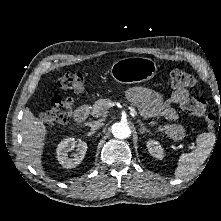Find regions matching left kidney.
Masks as SVG:
<instances>
[{
  "label": "left kidney",
  "mask_w": 221,
  "mask_h": 221,
  "mask_svg": "<svg viewBox=\"0 0 221 221\" xmlns=\"http://www.w3.org/2000/svg\"><path fill=\"white\" fill-rule=\"evenodd\" d=\"M147 148L149 153L158 159H163L164 153H163V148L161 147L160 143L155 140H148L147 141Z\"/></svg>",
  "instance_id": "5707ae66"
}]
</instances>
